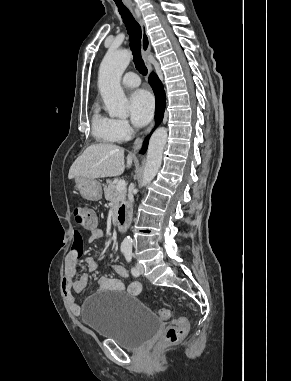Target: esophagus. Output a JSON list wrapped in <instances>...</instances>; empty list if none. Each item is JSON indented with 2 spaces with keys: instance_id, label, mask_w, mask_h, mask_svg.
<instances>
[{
  "instance_id": "obj_1",
  "label": "esophagus",
  "mask_w": 291,
  "mask_h": 381,
  "mask_svg": "<svg viewBox=\"0 0 291 381\" xmlns=\"http://www.w3.org/2000/svg\"><path fill=\"white\" fill-rule=\"evenodd\" d=\"M127 6L129 7V9L135 14L136 18L138 19V22L140 24V27H141V51H142V56H143V59H144V62L148 68V70L151 72L152 71V66L148 60V55L150 53V40H149V36L147 34V31H146V25L141 17L140 14L136 13L134 11V6L132 3L130 2H127L126 3ZM154 122H152L150 124V126L148 127V129L146 130L144 136H146L147 134L150 133V131L153 129L154 127ZM142 142H143V139H137L134 143V149H139L142 145Z\"/></svg>"
}]
</instances>
